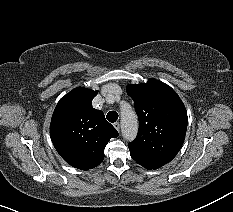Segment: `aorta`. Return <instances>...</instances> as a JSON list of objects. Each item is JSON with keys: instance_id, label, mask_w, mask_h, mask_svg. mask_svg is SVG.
Here are the masks:
<instances>
[{"instance_id": "aorta-1", "label": "aorta", "mask_w": 233, "mask_h": 212, "mask_svg": "<svg viewBox=\"0 0 233 212\" xmlns=\"http://www.w3.org/2000/svg\"><path fill=\"white\" fill-rule=\"evenodd\" d=\"M121 128L125 139L133 140L138 130V121L135 112L129 108H123L121 111Z\"/></svg>"}]
</instances>
